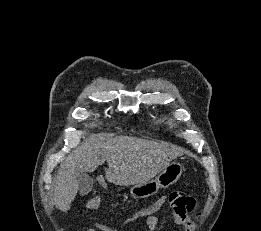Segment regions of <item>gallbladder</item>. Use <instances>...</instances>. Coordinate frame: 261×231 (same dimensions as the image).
Masks as SVG:
<instances>
[{
	"label": "gallbladder",
	"instance_id": "bac80fb5",
	"mask_svg": "<svg viewBox=\"0 0 261 231\" xmlns=\"http://www.w3.org/2000/svg\"><path fill=\"white\" fill-rule=\"evenodd\" d=\"M77 180H78L80 194L81 195L88 194L93 186L92 177L89 174L80 171L77 174Z\"/></svg>",
	"mask_w": 261,
	"mask_h": 231
}]
</instances>
